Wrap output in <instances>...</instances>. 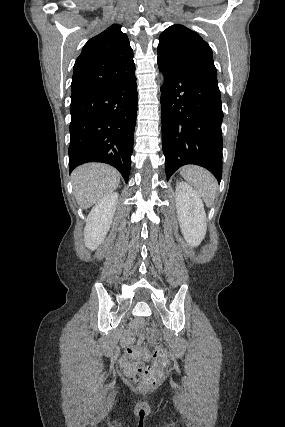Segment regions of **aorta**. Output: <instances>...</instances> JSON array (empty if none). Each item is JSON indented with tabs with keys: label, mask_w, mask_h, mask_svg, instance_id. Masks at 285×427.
I'll list each match as a JSON object with an SVG mask.
<instances>
[{
	"label": "aorta",
	"mask_w": 285,
	"mask_h": 427,
	"mask_svg": "<svg viewBox=\"0 0 285 427\" xmlns=\"http://www.w3.org/2000/svg\"><path fill=\"white\" fill-rule=\"evenodd\" d=\"M160 82L163 83L164 82V77L163 75L160 76Z\"/></svg>",
	"instance_id": "obj_1"
}]
</instances>
